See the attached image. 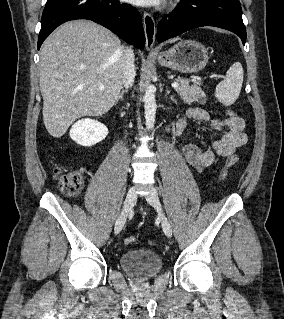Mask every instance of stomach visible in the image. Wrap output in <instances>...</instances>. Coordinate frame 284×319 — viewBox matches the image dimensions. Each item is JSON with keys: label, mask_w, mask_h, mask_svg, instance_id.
Wrapping results in <instances>:
<instances>
[{"label": "stomach", "mask_w": 284, "mask_h": 319, "mask_svg": "<svg viewBox=\"0 0 284 319\" xmlns=\"http://www.w3.org/2000/svg\"><path fill=\"white\" fill-rule=\"evenodd\" d=\"M208 59L205 46L193 40H181L157 57L160 65L180 73H196L206 66Z\"/></svg>", "instance_id": "1"}]
</instances>
